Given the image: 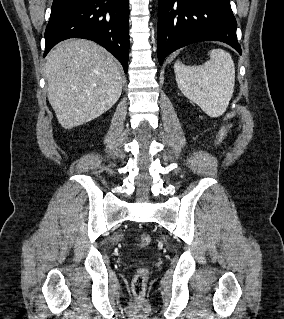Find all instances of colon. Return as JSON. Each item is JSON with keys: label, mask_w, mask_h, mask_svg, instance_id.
Segmentation results:
<instances>
[{"label": "colon", "mask_w": 284, "mask_h": 319, "mask_svg": "<svg viewBox=\"0 0 284 319\" xmlns=\"http://www.w3.org/2000/svg\"><path fill=\"white\" fill-rule=\"evenodd\" d=\"M236 118L235 112H228L224 116V123L220 127L218 134H217V143L220 144L225 141L228 131L230 129L232 121ZM152 238L149 234L144 233L141 234L139 237V245L140 247H147L150 245ZM148 278V271L146 268H140L132 281V289L133 292L137 296H141L144 293L146 287V281Z\"/></svg>", "instance_id": "obj_1"}]
</instances>
